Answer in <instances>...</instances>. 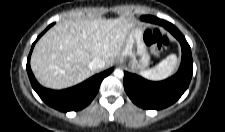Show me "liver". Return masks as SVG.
<instances>
[{
    "mask_svg": "<svg viewBox=\"0 0 225 132\" xmlns=\"http://www.w3.org/2000/svg\"><path fill=\"white\" fill-rule=\"evenodd\" d=\"M135 26V20L125 16L59 22L35 45L31 69L38 82L47 88L76 85L95 73L89 68L94 58H101L104 68H109Z\"/></svg>",
    "mask_w": 225,
    "mask_h": 132,
    "instance_id": "1",
    "label": "liver"
}]
</instances>
